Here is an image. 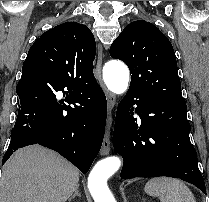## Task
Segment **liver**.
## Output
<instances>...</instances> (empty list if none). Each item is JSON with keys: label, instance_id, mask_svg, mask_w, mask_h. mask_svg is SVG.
<instances>
[{"label": "liver", "instance_id": "1", "mask_svg": "<svg viewBox=\"0 0 209 202\" xmlns=\"http://www.w3.org/2000/svg\"><path fill=\"white\" fill-rule=\"evenodd\" d=\"M79 171L39 145L16 151L3 167L0 202H66L78 187Z\"/></svg>", "mask_w": 209, "mask_h": 202}]
</instances>
